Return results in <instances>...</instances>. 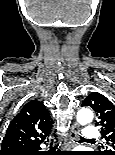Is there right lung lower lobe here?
Listing matches in <instances>:
<instances>
[{
	"label": "right lung lower lobe",
	"instance_id": "obj_1",
	"mask_svg": "<svg viewBox=\"0 0 115 155\" xmlns=\"http://www.w3.org/2000/svg\"><path fill=\"white\" fill-rule=\"evenodd\" d=\"M40 149V146H34L31 148H26L24 150L11 153L9 155H45V153L39 151Z\"/></svg>",
	"mask_w": 115,
	"mask_h": 155
}]
</instances>
